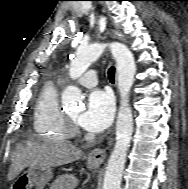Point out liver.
Listing matches in <instances>:
<instances>
[{
  "instance_id": "obj_1",
  "label": "liver",
  "mask_w": 188,
  "mask_h": 189,
  "mask_svg": "<svg viewBox=\"0 0 188 189\" xmlns=\"http://www.w3.org/2000/svg\"><path fill=\"white\" fill-rule=\"evenodd\" d=\"M81 149L70 144L47 142L41 145L28 143L26 146L17 145L11 156V168L8 181L15 179L26 167H54L74 162L82 156ZM63 181L71 187L78 184L74 175L63 176Z\"/></svg>"
}]
</instances>
